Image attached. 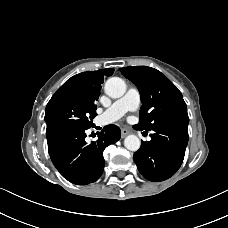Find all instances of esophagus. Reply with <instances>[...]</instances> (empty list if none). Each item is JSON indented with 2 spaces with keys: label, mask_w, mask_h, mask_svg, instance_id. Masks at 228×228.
Instances as JSON below:
<instances>
[{
  "label": "esophagus",
  "mask_w": 228,
  "mask_h": 228,
  "mask_svg": "<svg viewBox=\"0 0 228 228\" xmlns=\"http://www.w3.org/2000/svg\"><path fill=\"white\" fill-rule=\"evenodd\" d=\"M129 134V131L125 128L121 129V136L122 138H124L125 136H127Z\"/></svg>",
  "instance_id": "esophagus-1"
}]
</instances>
